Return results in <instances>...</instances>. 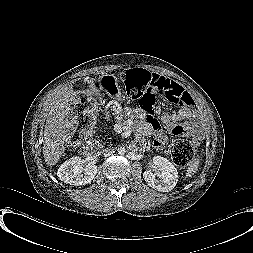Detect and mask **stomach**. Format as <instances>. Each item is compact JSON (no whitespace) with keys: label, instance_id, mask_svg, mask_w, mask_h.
<instances>
[{"label":"stomach","instance_id":"obj_1","mask_svg":"<svg viewBox=\"0 0 253 253\" xmlns=\"http://www.w3.org/2000/svg\"><path fill=\"white\" fill-rule=\"evenodd\" d=\"M90 88L97 91L99 88L107 92V94L115 100H121L122 92L118 86L114 76L105 74L98 80L92 81Z\"/></svg>","mask_w":253,"mask_h":253}]
</instances>
